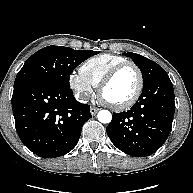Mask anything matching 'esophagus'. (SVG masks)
Returning <instances> with one entry per match:
<instances>
[{
    "mask_svg": "<svg viewBox=\"0 0 193 193\" xmlns=\"http://www.w3.org/2000/svg\"><path fill=\"white\" fill-rule=\"evenodd\" d=\"M98 111H99V109L96 108V107H91V108H90V112H91L92 115H96V113H97Z\"/></svg>",
    "mask_w": 193,
    "mask_h": 193,
    "instance_id": "esophagus-1",
    "label": "esophagus"
}]
</instances>
